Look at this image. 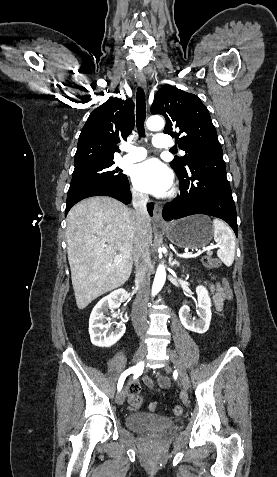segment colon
Instances as JSON below:
<instances>
[{
    "label": "colon",
    "mask_w": 277,
    "mask_h": 477,
    "mask_svg": "<svg viewBox=\"0 0 277 477\" xmlns=\"http://www.w3.org/2000/svg\"><path fill=\"white\" fill-rule=\"evenodd\" d=\"M201 263L203 268H218L221 266V262L215 258V256H202ZM223 291L225 296V302L227 304H232L234 302L235 293L232 290V286L227 283L226 280H223ZM129 402L133 408H140L143 405V398L138 394V389L134 385L129 387ZM159 405L157 402H152L150 404V409L152 411L158 410ZM174 414L181 415L183 408L181 406H176L174 408Z\"/></svg>",
    "instance_id": "5ec220e1"
}]
</instances>
